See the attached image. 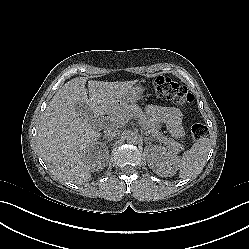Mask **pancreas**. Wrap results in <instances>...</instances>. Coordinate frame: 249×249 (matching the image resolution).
I'll return each instance as SVG.
<instances>
[{
    "mask_svg": "<svg viewBox=\"0 0 249 249\" xmlns=\"http://www.w3.org/2000/svg\"><path fill=\"white\" fill-rule=\"evenodd\" d=\"M122 118H138L141 120L143 127L151 133L153 137L166 143L171 149L178 150L181 144L171 138H167L159 133L157 123L148 117L137 104L126 105L118 113Z\"/></svg>",
    "mask_w": 249,
    "mask_h": 249,
    "instance_id": "cf45deb5",
    "label": "pancreas"
}]
</instances>
